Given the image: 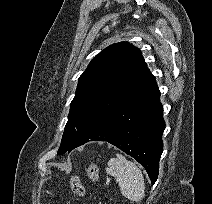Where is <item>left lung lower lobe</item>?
Instances as JSON below:
<instances>
[{
	"label": "left lung lower lobe",
	"mask_w": 212,
	"mask_h": 204,
	"mask_svg": "<svg viewBox=\"0 0 212 204\" xmlns=\"http://www.w3.org/2000/svg\"><path fill=\"white\" fill-rule=\"evenodd\" d=\"M154 76L108 111L76 139L72 150L89 141H107L138 161L156 182L165 122Z\"/></svg>",
	"instance_id": "left-lung-lower-lobe-1"
}]
</instances>
